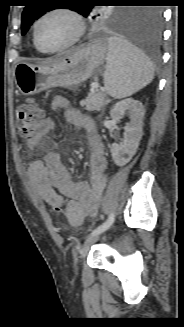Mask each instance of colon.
Here are the masks:
<instances>
[{"instance_id": "colon-1", "label": "colon", "mask_w": 184, "mask_h": 327, "mask_svg": "<svg viewBox=\"0 0 184 327\" xmlns=\"http://www.w3.org/2000/svg\"><path fill=\"white\" fill-rule=\"evenodd\" d=\"M44 112L42 107L32 100L21 103L17 109V121L19 131L22 136L30 137L43 121ZM54 212H60L58 207L52 208ZM97 207H92L87 211V216L93 218L97 215Z\"/></svg>"}]
</instances>
